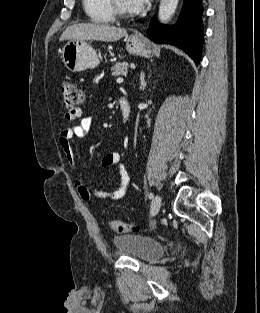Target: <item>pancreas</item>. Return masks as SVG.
Returning a JSON list of instances; mask_svg holds the SVG:
<instances>
[{
  "label": "pancreas",
  "instance_id": "1",
  "mask_svg": "<svg viewBox=\"0 0 260 313\" xmlns=\"http://www.w3.org/2000/svg\"><path fill=\"white\" fill-rule=\"evenodd\" d=\"M128 68H129V64L127 62H122V63L118 62L112 66L111 71H112V74L115 77H117V76L126 75Z\"/></svg>",
  "mask_w": 260,
  "mask_h": 313
}]
</instances>
